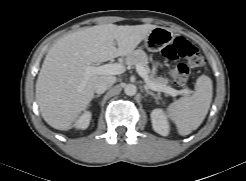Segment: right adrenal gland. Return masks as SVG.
I'll return each mask as SVG.
<instances>
[{"label":"right adrenal gland","mask_w":246,"mask_h":181,"mask_svg":"<svg viewBox=\"0 0 246 181\" xmlns=\"http://www.w3.org/2000/svg\"><path fill=\"white\" fill-rule=\"evenodd\" d=\"M100 96H101V94H97V95H94L93 98H98Z\"/></svg>","instance_id":"1"}]
</instances>
